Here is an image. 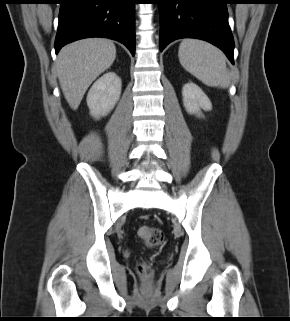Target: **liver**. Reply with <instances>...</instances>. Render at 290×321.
<instances>
[{
    "label": "liver",
    "instance_id": "liver-1",
    "mask_svg": "<svg viewBox=\"0 0 290 321\" xmlns=\"http://www.w3.org/2000/svg\"><path fill=\"white\" fill-rule=\"evenodd\" d=\"M116 58V47L109 39L86 38L63 47L56 60L61 89L70 107L78 108L91 83Z\"/></svg>",
    "mask_w": 290,
    "mask_h": 321
}]
</instances>
